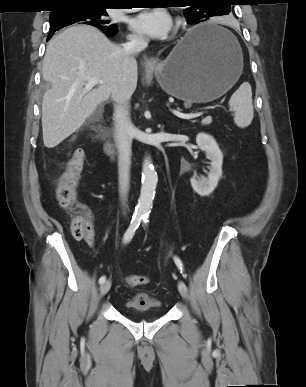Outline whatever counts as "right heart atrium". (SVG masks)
<instances>
[{"mask_svg":"<svg viewBox=\"0 0 306 387\" xmlns=\"http://www.w3.org/2000/svg\"><path fill=\"white\" fill-rule=\"evenodd\" d=\"M129 39L131 41H139L140 40V37L138 35H135V34H131L129 35Z\"/></svg>","mask_w":306,"mask_h":387,"instance_id":"d8ad5b80","label":"right heart atrium"}]
</instances>
